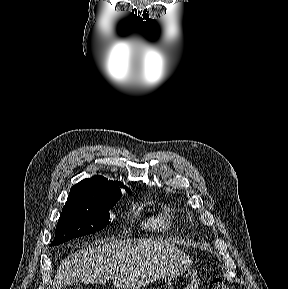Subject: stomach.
I'll use <instances>...</instances> for the list:
<instances>
[{
	"mask_svg": "<svg viewBox=\"0 0 288 289\" xmlns=\"http://www.w3.org/2000/svg\"><path fill=\"white\" fill-rule=\"evenodd\" d=\"M199 278L191 269L175 272L168 277V289H198Z\"/></svg>",
	"mask_w": 288,
	"mask_h": 289,
	"instance_id": "0dacf381",
	"label": "stomach"
}]
</instances>
